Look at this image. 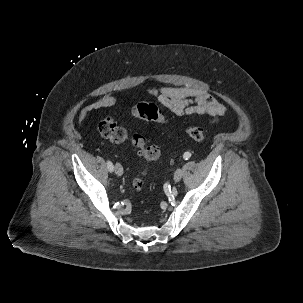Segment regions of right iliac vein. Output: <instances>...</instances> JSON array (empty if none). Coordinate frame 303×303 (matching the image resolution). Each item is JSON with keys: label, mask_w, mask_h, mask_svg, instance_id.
<instances>
[{"label": "right iliac vein", "mask_w": 303, "mask_h": 303, "mask_svg": "<svg viewBox=\"0 0 303 303\" xmlns=\"http://www.w3.org/2000/svg\"><path fill=\"white\" fill-rule=\"evenodd\" d=\"M114 170H115L116 175H118V176H121L123 174V168L118 163L115 165V169Z\"/></svg>", "instance_id": "obj_1"}]
</instances>
